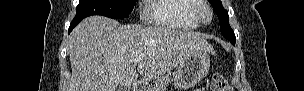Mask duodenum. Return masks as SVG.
Listing matches in <instances>:
<instances>
[{"instance_id": "obj_1", "label": "duodenum", "mask_w": 304, "mask_h": 91, "mask_svg": "<svg viewBox=\"0 0 304 91\" xmlns=\"http://www.w3.org/2000/svg\"><path fill=\"white\" fill-rule=\"evenodd\" d=\"M134 91H146V85L142 82H136L133 85Z\"/></svg>"}]
</instances>
